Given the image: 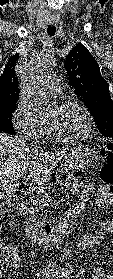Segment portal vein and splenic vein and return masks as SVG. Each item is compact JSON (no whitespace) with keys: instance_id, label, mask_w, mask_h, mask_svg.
<instances>
[{"instance_id":"obj_1","label":"portal vein and splenic vein","mask_w":113,"mask_h":279,"mask_svg":"<svg viewBox=\"0 0 113 279\" xmlns=\"http://www.w3.org/2000/svg\"><path fill=\"white\" fill-rule=\"evenodd\" d=\"M24 176H25L24 173L20 172L19 177H24ZM38 191H42V189H39Z\"/></svg>"}]
</instances>
